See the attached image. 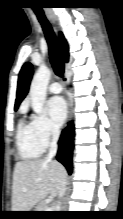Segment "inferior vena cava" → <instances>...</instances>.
<instances>
[{"instance_id": "obj_1", "label": "inferior vena cava", "mask_w": 123, "mask_h": 219, "mask_svg": "<svg viewBox=\"0 0 123 219\" xmlns=\"http://www.w3.org/2000/svg\"><path fill=\"white\" fill-rule=\"evenodd\" d=\"M59 135H60V129L58 127H52V141L50 143L49 153L46 157L48 160H52V158L57 154V150H58L57 142L59 139ZM65 191H66V183L64 181L62 182L61 187L59 189L60 198L64 196Z\"/></svg>"}]
</instances>
